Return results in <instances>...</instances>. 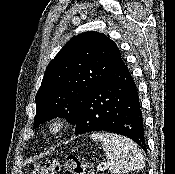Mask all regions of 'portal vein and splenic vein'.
I'll return each instance as SVG.
<instances>
[{"label": "portal vein and splenic vein", "mask_w": 175, "mask_h": 174, "mask_svg": "<svg viewBox=\"0 0 175 174\" xmlns=\"http://www.w3.org/2000/svg\"><path fill=\"white\" fill-rule=\"evenodd\" d=\"M109 168V165H105L104 167H101L99 170L101 171V172H103V171H105L106 169H108Z\"/></svg>", "instance_id": "18ae733b"}]
</instances>
